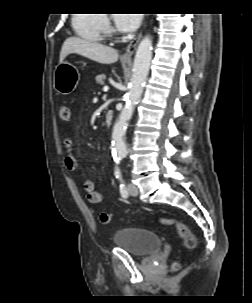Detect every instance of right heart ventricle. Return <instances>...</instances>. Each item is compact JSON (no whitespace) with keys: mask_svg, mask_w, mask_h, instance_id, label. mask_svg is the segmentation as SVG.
Masks as SVG:
<instances>
[{"mask_svg":"<svg viewBox=\"0 0 252 303\" xmlns=\"http://www.w3.org/2000/svg\"><path fill=\"white\" fill-rule=\"evenodd\" d=\"M105 21L103 14H77L73 25L82 36L102 39L106 32Z\"/></svg>","mask_w":252,"mask_h":303,"instance_id":"right-heart-ventricle-1","label":"right heart ventricle"}]
</instances>
